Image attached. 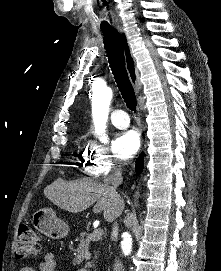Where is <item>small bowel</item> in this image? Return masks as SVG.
<instances>
[{
	"label": "small bowel",
	"mask_w": 221,
	"mask_h": 271,
	"mask_svg": "<svg viewBox=\"0 0 221 271\" xmlns=\"http://www.w3.org/2000/svg\"><path fill=\"white\" fill-rule=\"evenodd\" d=\"M57 267V258L54 252H47L43 260L39 261L36 266L28 264L20 271H55Z\"/></svg>",
	"instance_id": "obj_1"
}]
</instances>
